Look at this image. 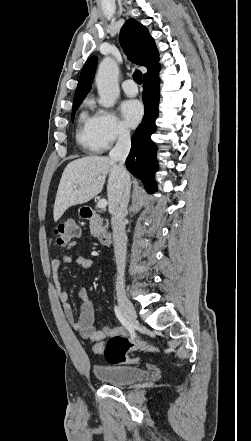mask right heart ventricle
<instances>
[{"instance_id": "e07e8e85", "label": "right heart ventricle", "mask_w": 251, "mask_h": 441, "mask_svg": "<svg viewBox=\"0 0 251 441\" xmlns=\"http://www.w3.org/2000/svg\"><path fill=\"white\" fill-rule=\"evenodd\" d=\"M76 140L88 152L97 153L104 149L96 135L94 116L89 115L86 110L79 115Z\"/></svg>"}]
</instances>
